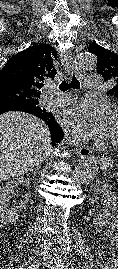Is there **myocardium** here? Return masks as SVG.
<instances>
[{"instance_id":"myocardium-1","label":"myocardium","mask_w":118,"mask_h":269,"mask_svg":"<svg viewBox=\"0 0 118 269\" xmlns=\"http://www.w3.org/2000/svg\"><path fill=\"white\" fill-rule=\"evenodd\" d=\"M113 112L116 113V114L118 115V107L115 108ZM110 145L113 146V147L118 148V141H116V140H111V141H110Z\"/></svg>"}]
</instances>
